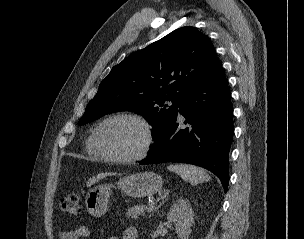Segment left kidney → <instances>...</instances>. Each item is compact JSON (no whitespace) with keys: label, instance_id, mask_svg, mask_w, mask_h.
Instances as JSON below:
<instances>
[{"label":"left kidney","instance_id":"obj_1","mask_svg":"<svg viewBox=\"0 0 304 239\" xmlns=\"http://www.w3.org/2000/svg\"><path fill=\"white\" fill-rule=\"evenodd\" d=\"M167 218L174 224L180 239H188L194 222V212L190 203L180 198L170 208Z\"/></svg>","mask_w":304,"mask_h":239}]
</instances>
